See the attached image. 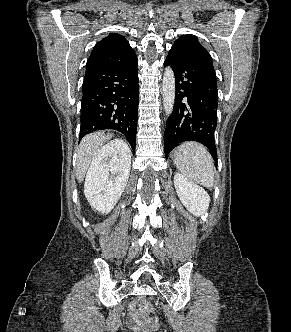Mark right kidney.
Wrapping results in <instances>:
<instances>
[{
	"label": "right kidney",
	"mask_w": 291,
	"mask_h": 332,
	"mask_svg": "<svg viewBox=\"0 0 291 332\" xmlns=\"http://www.w3.org/2000/svg\"><path fill=\"white\" fill-rule=\"evenodd\" d=\"M131 158L120 140L103 146L88 169L84 193L101 213H109L121 197L129 178Z\"/></svg>",
	"instance_id": "1"
}]
</instances>
